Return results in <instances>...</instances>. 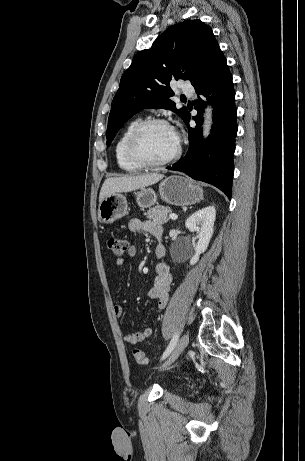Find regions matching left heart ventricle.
Segmentation results:
<instances>
[{"label":"left heart ventricle","mask_w":305,"mask_h":461,"mask_svg":"<svg viewBox=\"0 0 305 461\" xmlns=\"http://www.w3.org/2000/svg\"><path fill=\"white\" fill-rule=\"evenodd\" d=\"M177 145L170 127L155 125L148 128L143 134L139 151L147 160L160 161L172 155Z\"/></svg>","instance_id":"obj_1"}]
</instances>
